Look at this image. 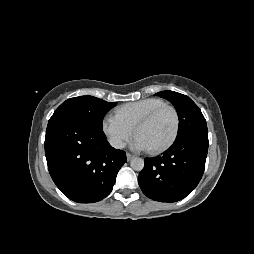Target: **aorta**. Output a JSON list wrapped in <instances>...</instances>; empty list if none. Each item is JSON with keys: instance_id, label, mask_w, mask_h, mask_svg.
Wrapping results in <instances>:
<instances>
[{"instance_id": "762f6f07", "label": "aorta", "mask_w": 254, "mask_h": 254, "mask_svg": "<svg viewBox=\"0 0 254 254\" xmlns=\"http://www.w3.org/2000/svg\"><path fill=\"white\" fill-rule=\"evenodd\" d=\"M130 166L135 171H141L144 168V160L139 157H135L130 161Z\"/></svg>"}]
</instances>
